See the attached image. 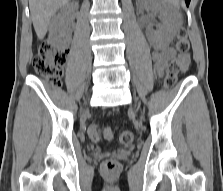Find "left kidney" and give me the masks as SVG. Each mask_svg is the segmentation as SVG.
Returning <instances> with one entry per match:
<instances>
[{
  "instance_id": "5707ae66",
  "label": "left kidney",
  "mask_w": 223,
  "mask_h": 191,
  "mask_svg": "<svg viewBox=\"0 0 223 191\" xmlns=\"http://www.w3.org/2000/svg\"><path fill=\"white\" fill-rule=\"evenodd\" d=\"M139 7L151 8L159 14L161 24L156 30L148 28L149 38L160 45H168L176 34V30L181 23L180 15L170 5L159 0H142L138 2Z\"/></svg>"
}]
</instances>
